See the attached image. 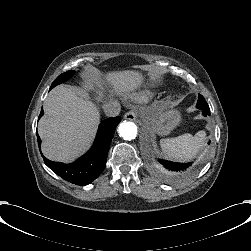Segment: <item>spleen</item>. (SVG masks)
I'll return each mask as SVG.
<instances>
[{
  "instance_id": "spleen-1",
  "label": "spleen",
  "mask_w": 251,
  "mask_h": 251,
  "mask_svg": "<svg viewBox=\"0 0 251 251\" xmlns=\"http://www.w3.org/2000/svg\"><path fill=\"white\" fill-rule=\"evenodd\" d=\"M206 132L198 131L194 136L186 133L175 138L160 140L162 152L169 158L188 161L195 157L204 147Z\"/></svg>"
}]
</instances>
